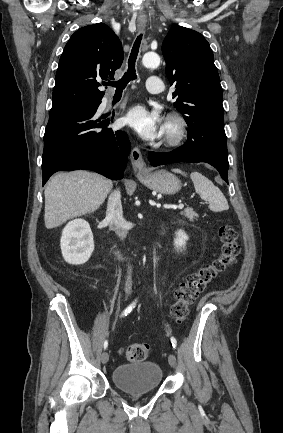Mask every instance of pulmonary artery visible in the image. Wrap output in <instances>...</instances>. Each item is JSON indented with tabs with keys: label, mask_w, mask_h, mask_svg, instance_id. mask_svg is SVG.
<instances>
[{
	"label": "pulmonary artery",
	"mask_w": 283,
	"mask_h": 433,
	"mask_svg": "<svg viewBox=\"0 0 283 433\" xmlns=\"http://www.w3.org/2000/svg\"><path fill=\"white\" fill-rule=\"evenodd\" d=\"M147 92H161L163 80L162 78H155V74H150V78L145 80Z\"/></svg>",
	"instance_id": "1"
}]
</instances>
